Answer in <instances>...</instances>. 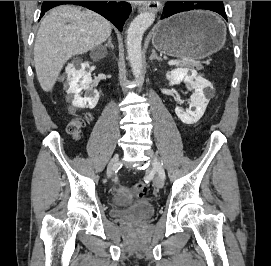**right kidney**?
<instances>
[{"label": "right kidney", "mask_w": 271, "mask_h": 266, "mask_svg": "<svg viewBox=\"0 0 271 266\" xmlns=\"http://www.w3.org/2000/svg\"><path fill=\"white\" fill-rule=\"evenodd\" d=\"M89 64L84 63L80 68H76L75 63H69L65 68L67 74L66 92L68 95H73L72 105L76 108H90L93 109L99 100V93L97 90H92L91 72L88 70ZM82 90L88 91L83 97Z\"/></svg>", "instance_id": "1"}]
</instances>
